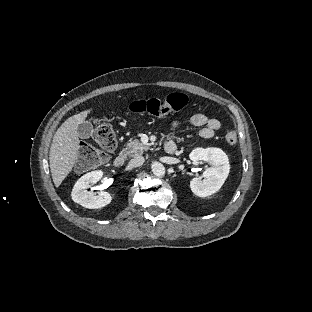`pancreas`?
<instances>
[{
    "label": "pancreas",
    "mask_w": 312,
    "mask_h": 312,
    "mask_svg": "<svg viewBox=\"0 0 312 312\" xmlns=\"http://www.w3.org/2000/svg\"><path fill=\"white\" fill-rule=\"evenodd\" d=\"M149 146L142 144L138 139L132 140L127 143L126 148H124L120 155L124 158L127 157H135L138 155H142L144 151H147Z\"/></svg>",
    "instance_id": "1"
}]
</instances>
